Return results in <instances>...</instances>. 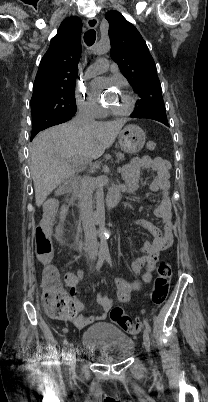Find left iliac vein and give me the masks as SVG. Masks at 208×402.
Segmentation results:
<instances>
[{
  "label": "left iliac vein",
  "instance_id": "4c4485c4",
  "mask_svg": "<svg viewBox=\"0 0 208 402\" xmlns=\"http://www.w3.org/2000/svg\"><path fill=\"white\" fill-rule=\"evenodd\" d=\"M143 342L147 352H150V336L149 332L144 329L143 331Z\"/></svg>",
  "mask_w": 208,
  "mask_h": 402
}]
</instances>
